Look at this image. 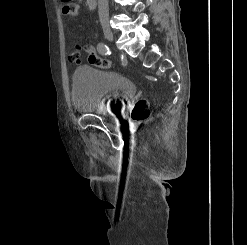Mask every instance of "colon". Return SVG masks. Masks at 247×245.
<instances>
[{"label":"colon","instance_id":"colon-1","mask_svg":"<svg viewBox=\"0 0 247 245\" xmlns=\"http://www.w3.org/2000/svg\"><path fill=\"white\" fill-rule=\"evenodd\" d=\"M63 3V13L71 16V17H75L78 14V8L77 5L73 2H71V0H62ZM86 50L89 51V56H88V60L89 63L93 66H96L98 68H108L111 65V62L108 59L102 58L97 56L90 48L85 47ZM70 61L73 63H77L79 61L78 55L77 54H73L70 56ZM150 115V107H149V103L142 99L139 100L135 106L132 109L131 112V117L134 121H143L145 119H147Z\"/></svg>","mask_w":247,"mask_h":245}]
</instances>
